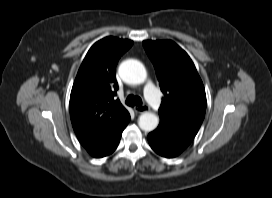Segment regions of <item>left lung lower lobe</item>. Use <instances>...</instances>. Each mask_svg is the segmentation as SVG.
I'll use <instances>...</instances> for the list:
<instances>
[{"mask_svg":"<svg viewBox=\"0 0 272 198\" xmlns=\"http://www.w3.org/2000/svg\"><path fill=\"white\" fill-rule=\"evenodd\" d=\"M199 128L160 116V124L148 135L151 148L166 158L178 156L194 139Z\"/></svg>","mask_w":272,"mask_h":198,"instance_id":"1","label":"left lung lower lobe"}]
</instances>
